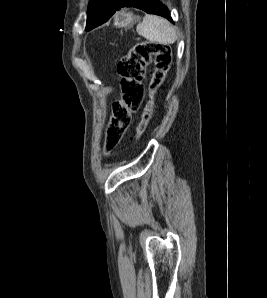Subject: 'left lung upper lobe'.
Masks as SVG:
<instances>
[{
    "mask_svg": "<svg viewBox=\"0 0 267 298\" xmlns=\"http://www.w3.org/2000/svg\"><path fill=\"white\" fill-rule=\"evenodd\" d=\"M116 0H90L88 5L87 21L95 15H98L99 11H105Z\"/></svg>",
    "mask_w": 267,
    "mask_h": 298,
    "instance_id": "obj_1",
    "label": "left lung upper lobe"
}]
</instances>
